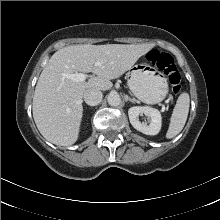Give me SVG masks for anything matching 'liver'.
<instances>
[{
    "mask_svg": "<svg viewBox=\"0 0 220 220\" xmlns=\"http://www.w3.org/2000/svg\"><path fill=\"white\" fill-rule=\"evenodd\" d=\"M154 44L71 45L55 52L38 79L33 96V118L42 136L59 146H71L79 136L82 98L87 89L106 91L112 79L130 70ZM101 62L95 66V62ZM93 72L96 77L75 82L63 73Z\"/></svg>",
    "mask_w": 220,
    "mask_h": 220,
    "instance_id": "liver-1",
    "label": "liver"
}]
</instances>
